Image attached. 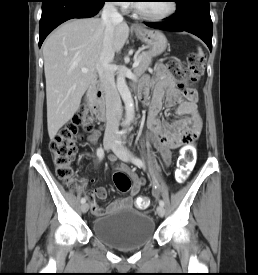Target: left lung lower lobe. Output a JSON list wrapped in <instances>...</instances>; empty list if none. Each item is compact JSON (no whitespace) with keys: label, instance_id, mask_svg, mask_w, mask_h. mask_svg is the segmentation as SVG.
Returning a JSON list of instances; mask_svg holds the SVG:
<instances>
[{"label":"left lung lower lobe","instance_id":"1","mask_svg":"<svg viewBox=\"0 0 258 275\" xmlns=\"http://www.w3.org/2000/svg\"><path fill=\"white\" fill-rule=\"evenodd\" d=\"M177 11L163 23H145L167 31H187L201 38L212 50L210 0H176Z\"/></svg>","mask_w":258,"mask_h":275}]
</instances>
